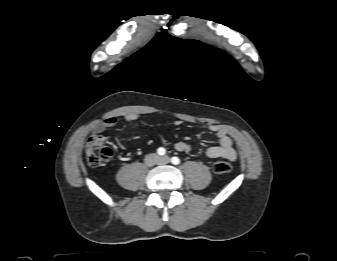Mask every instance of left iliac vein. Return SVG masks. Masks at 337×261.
<instances>
[{
  "label": "left iliac vein",
  "mask_w": 337,
  "mask_h": 261,
  "mask_svg": "<svg viewBox=\"0 0 337 261\" xmlns=\"http://www.w3.org/2000/svg\"><path fill=\"white\" fill-rule=\"evenodd\" d=\"M159 162H160L161 164H167V163L170 162V158H169L168 156L160 157V158H159Z\"/></svg>",
  "instance_id": "left-iliac-vein-1"
}]
</instances>
